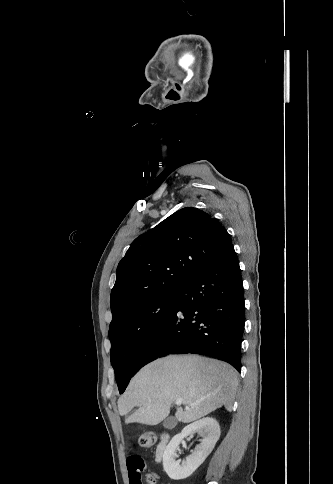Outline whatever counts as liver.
Returning <instances> with one entry per match:
<instances>
[{
  "mask_svg": "<svg viewBox=\"0 0 333 484\" xmlns=\"http://www.w3.org/2000/svg\"><path fill=\"white\" fill-rule=\"evenodd\" d=\"M238 385L236 370L225 362L201 356H168L142 368L118 399L121 416L139 407L125 423L157 425L164 420L176 399L175 417L190 423L225 406L232 411Z\"/></svg>",
  "mask_w": 333,
  "mask_h": 484,
  "instance_id": "liver-1",
  "label": "liver"
}]
</instances>
